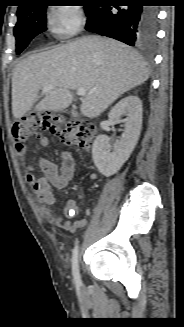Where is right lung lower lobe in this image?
Returning <instances> with one entry per match:
<instances>
[{
    "instance_id": "obj_1",
    "label": "right lung lower lobe",
    "mask_w": 184,
    "mask_h": 327,
    "mask_svg": "<svg viewBox=\"0 0 184 327\" xmlns=\"http://www.w3.org/2000/svg\"><path fill=\"white\" fill-rule=\"evenodd\" d=\"M129 6H93L87 15L86 29L122 41L130 46L146 47L157 33V10L143 7L141 0H129Z\"/></svg>"
}]
</instances>
